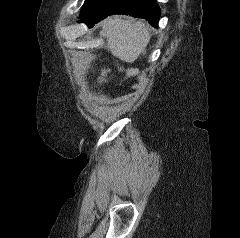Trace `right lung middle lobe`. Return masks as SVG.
<instances>
[{"label": "right lung middle lobe", "mask_w": 240, "mask_h": 238, "mask_svg": "<svg viewBox=\"0 0 240 238\" xmlns=\"http://www.w3.org/2000/svg\"><path fill=\"white\" fill-rule=\"evenodd\" d=\"M123 0H85L80 18L89 26H94L102 17L116 9Z\"/></svg>", "instance_id": "1"}]
</instances>
